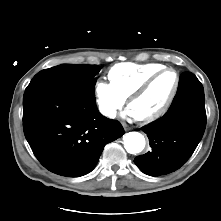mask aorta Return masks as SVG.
Masks as SVG:
<instances>
[{
  "instance_id": "762f6f07",
  "label": "aorta",
  "mask_w": 221,
  "mask_h": 221,
  "mask_svg": "<svg viewBox=\"0 0 221 221\" xmlns=\"http://www.w3.org/2000/svg\"><path fill=\"white\" fill-rule=\"evenodd\" d=\"M124 147L131 154L140 153L145 147V138L139 132H129L123 137Z\"/></svg>"
}]
</instances>
